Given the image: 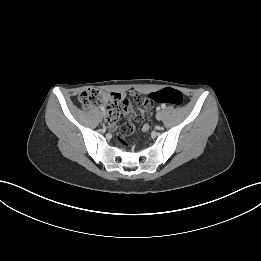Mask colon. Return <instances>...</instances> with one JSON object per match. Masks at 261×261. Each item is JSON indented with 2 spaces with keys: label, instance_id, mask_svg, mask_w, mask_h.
Masks as SVG:
<instances>
[{
  "label": "colon",
  "instance_id": "1",
  "mask_svg": "<svg viewBox=\"0 0 261 261\" xmlns=\"http://www.w3.org/2000/svg\"><path fill=\"white\" fill-rule=\"evenodd\" d=\"M153 102H166L174 106H181L184 103L182 93L173 88H166L150 94ZM79 102L84 108H92L97 105L105 104L108 107V122L111 127L117 129V135L123 142L126 137L134 131V126L126 122L120 126L117 122L121 115L128 113L130 104L126 98L119 93H108L96 88H87L79 94Z\"/></svg>",
  "mask_w": 261,
  "mask_h": 261
}]
</instances>
